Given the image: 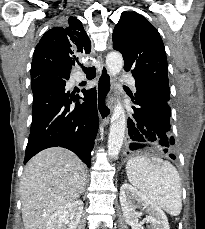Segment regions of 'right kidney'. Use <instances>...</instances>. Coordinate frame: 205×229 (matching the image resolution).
<instances>
[{
  "label": "right kidney",
  "mask_w": 205,
  "mask_h": 229,
  "mask_svg": "<svg viewBox=\"0 0 205 229\" xmlns=\"http://www.w3.org/2000/svg\"><path fill=\"white\" fill-rule=\"evenodd\" d=\"M83 205L81 200H77L60 207L50 217L46 229H64L65 225H68V229H76L81 218Z\"/></svg>",
  "instance_id": "right-kidney-1"
}]
</instances>
